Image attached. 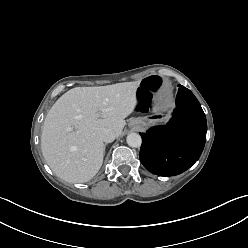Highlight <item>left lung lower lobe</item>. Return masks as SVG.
<instances>
[{
	"label": "left lung lower lobe",
	"mask_w": 248,
	"mask_h": 248,
	"mask_svg": "<svg viewBox=\"0 0 248 248\" xmlns=\"http://www.w3.org/2000/svg\"><path fill=\"white\" fill-rule=\"evenodd\" d=\"M206 132V117L200 103L189 89L180 87L176 108L167 125L140 133V161L156 175L181 174L199 159Z\"/></svg>",
	"instance_id": "left-lung-lower-lobe-1"
}]
</instances>
